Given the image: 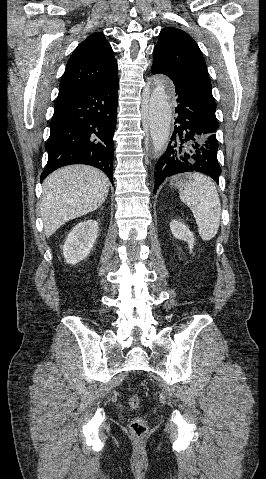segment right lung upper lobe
<instances>
[{
	"mask_svg": "<svg viewBox=\"0 0 266 479\" xmlns=\"http://www.w3.org/2000/svg\"><path fill=\"white\" fill-rule=\"evenodd\" d=\"M118 77L113 50L103 33L96 32L78 45L68 60L59 91L91 86Z\"/></svg>",
	"mask_w": 266,
	"mask_h": 479,
	"instance_id": "obj_1",
	"label": "right lung upper lobe"
}]
</instances>
